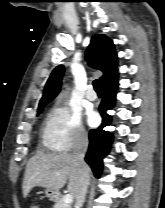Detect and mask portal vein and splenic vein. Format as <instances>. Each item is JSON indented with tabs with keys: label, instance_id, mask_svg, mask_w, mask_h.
<instances>
[{
	"label": "portal vein and splenic vein",
	"instance_id": "obj_1",
	"mask_svg": "<svg viewBox=\"0 0 165 208\" xmlns=\"http://www.w3.org/2000/svg\"><path fill=\"white\" fill-rule=\"evenodd\" d=\"M57 176H59V174H57ZM73 202V196L71 194H66L63 197V203L65 204H71Z\"/></svg>",
	"mask_w": 165,
	"mask_h": 208
}]
</instances>
